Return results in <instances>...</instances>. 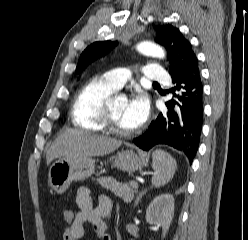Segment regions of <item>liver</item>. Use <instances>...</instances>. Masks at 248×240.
Wrapping results in <instances>:
<instances>
[{
	"label": "liver",
	"mask_w": 248,
	"mask_h": 240,
	"mask_svg": "<svg viewBox=\"0 0 248 240\" xmlns=\"http://www.w3.org/2000/svg\"><path fill=\"white\" fill-rule=\"evenodd\" d=\"M122 141L84 131L70 130L55 139L47 151L49 165L54 159L103 156L118 149Z\"/></svg>",
	"instance_id": "1"
}]
</instances>
